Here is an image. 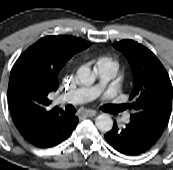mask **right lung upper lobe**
<instances>
[{"mask_svg": "<svg viewBox=\"0 0 173 170\" xmlns=\"http://www.w3.org/2000/svg\"><path fill=\"white\" fill-rule=\"evenodd\" d=\"M89 45L73 36H47L21 54L8 85L9 107L18 129L64 112L50 107L48 94L57 90L58 74L65 63Z\"/></svg>", "mask_w": 173, "mask_h": 170, "instance_id": "cb5924a9", "label": "right lung upper lobe"}]
</instances>
